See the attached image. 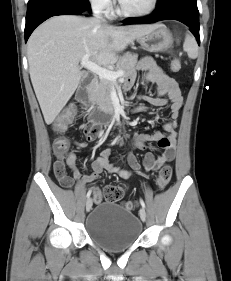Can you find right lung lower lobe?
<instances>
[{"label":"right lung lower lobe","instance_id":"right-lung-lower-lobe-1","mask_svg":"<svg viewBox=\"0 0 231 281\" xmlns=\"http://www.w3.org/2000/svg\"><path fill=\"white\" fill-rule=\"evenodd\" d=\"M90 11L88 0H29L26 15L25 41L43 21L55 15H80Z\"/></svg>","mask_w":231,"mask_h":281}]
</instances>
